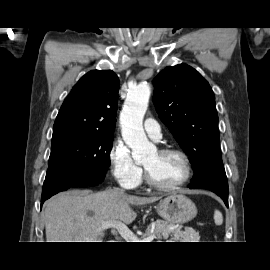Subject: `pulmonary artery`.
Masks as SVG:
<instances>
[{
	"label": "pulmonary artery",
	"mask_w": 270,
	"mask_h": 270,
	"mask_svg": "<svg viewBox=\"0 0 270 270\" xmlns=\"http://www.w3.org/2000/svg\"><path fill=\"white\" fill-rule=\"evenodd\" d=\"M144 129L146 133L153 139H160L161 128L153 118H147L144 122Z\"/></svg>",
	"instance_id": "e3ab8cb5"
}]
</instances>
